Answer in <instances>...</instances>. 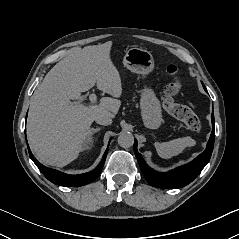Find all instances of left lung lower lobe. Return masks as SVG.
<instances>
[{
  "instance_id": "obj_1",
  "label": "left lung lower lobe",
  "mask_w": 239,
  "mask_h": 239,
  "mask_svg": "<svg viewBox=\"0 0 239 239\" xmlns=\"http://www.w3.org/2000/svg\"><path fill=\"white\" fill-rule=\"evenodd\" d=\"M203 87L207 92L204 84ZM212 119V133L210 139L207 143L206 150L196 157L190 163L178 167L169 172H157L151 169L144 161L142 155L137 151V140L134 142V152L138 160L141 171L143 172L147 182L154 187L171 189V188H181L192 182L202 171L205 165L209 162L215 140V130H214V114L211 115Z\"/></svg>"
}]
</instances>
